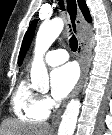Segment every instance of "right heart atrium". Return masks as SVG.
<instances>
[{
  "label": "right heart atrium",
  "instance_id": "d8ad5b80",
  "mask_svg": "<svg viewBox=\"0 0 112 135\" xmlns=\"http://www.w3.org/2000/svg\"><path fill=\"white\" fill-rule=\"evenodd\" d=\"M41 101L46 109H50L53 105L51 98L47 95L41 96Z\"/></svg>",
  "mask_w": 112,
  "mask_h": 135
}]
</instances>
